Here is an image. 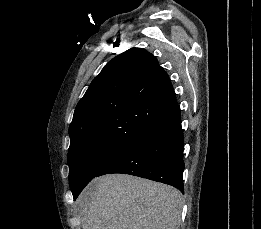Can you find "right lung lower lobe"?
Here are the masks:
<instances>
[{
  "label": "right lung lower lobe",
  "instance_id": "1",
  "mask_svg": "<svg viewBox=\"0 0 261 229\" xmlns=\"http://www.w3.org/2000/svg\"><path fill=\"white\" fill-rule=\"evenodd\" d=\"M183 145L180 109L176 105L95 177L124 173L162 182L183 191Z\"/></svg>",
  "mask_w": 261,
  "mask_h": 229
}]
</instances>
